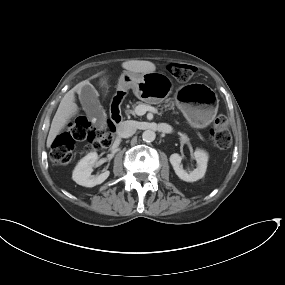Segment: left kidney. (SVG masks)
Returning a JSON list of instances; mask_svg holds the SVG:
<instances>
[{
	"mask_svg": "<svg viewBox=\"0 0 285 285\" xmlns=\"http://www.w3.org/2000/svg\"><path fill=\"white\" fill-rule=\"evenodd\" d=\"M192 157L196 160L197 167L189 173L183 169V166L181 164V161L183 159L182 156L174 153L169 158L176 175L181 180L186 182H194L201 179L205 175L207 169L208 154L204 150L197 149L193 153Z\"/></svg>",
	"mask_w": 285,
	"mask_h": 285,
	"instance_id": "obj_1",
	"label": "left kidney"
}]
</instances>
